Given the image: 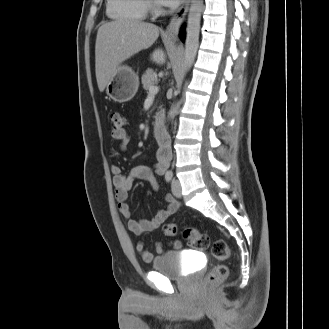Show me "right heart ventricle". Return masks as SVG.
<instances>
[{"mask_svg": "<svg viewBox=\"0 0 329 329\" xmlns=\"http://www.w3.org/2000/svg\"><path fill=\"white\" fill-rule=\"evenodd\" d=\"M107 13L115 19L143 21L148 9L144 0H108Z\"/></svg>", "mask_w": 329, "mask_h": 329, "instance_id": "e07e8e85", "label": "right heart ventricle"}]
</instances>
